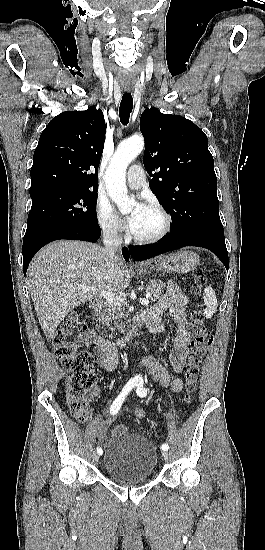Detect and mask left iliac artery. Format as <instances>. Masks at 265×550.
I'll use <instances>...</instances> for the list:
<instances>
[{
	"label": "left iliac artery",
	"instance_id": "44dca946",
	"mask_svg": "<svg viewBox=\"0 0 265 550\" xmlns=\"http://www.w3.org/2000/svg\"><path fill=\"white\" fill-rule=\"evenodd\" d=\"M143 384H144V382H143L142 379L139 380V381L137 382V384H136V387H137L136 393H137V395H138L139 397H142V398H143V397H146V395H147V390L145 389V387L143 386ZM161 449L167 451V450L169 449L168 444H162V445H161Z\"/></svg>",
	"mask_w": 265,
	"mask_h": 550
}]
</instances>
